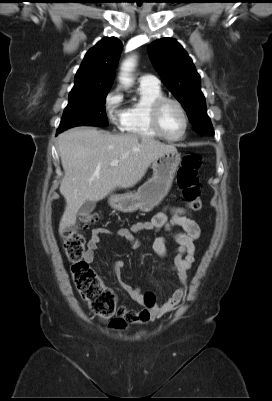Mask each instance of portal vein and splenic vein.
<instances>
[{
	"instance_id": "1",
	"label": "portal vein and splenic vein",
	"mask_w": 272,
	"mask_h": 401,
	"mask_svg": "<svg viewBox=\"0 0 272 401\" xmlns=\"http://www.w3.org/2000/svg\"><path fill=\"white\" fill-rule=\"evenodd\" d=\"M118 163H119V160H113V161L110 163V166H111V167L118 166Z\"/></svg>"
}]
</instances>
